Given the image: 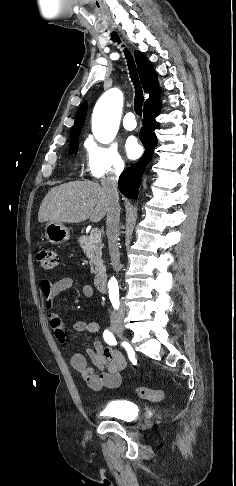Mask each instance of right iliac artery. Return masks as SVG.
<instances>
[{
  "mask_svg": "<svg viewBox=\"0 0 236 486\" xmlns=\"http://www.w3.org/2000/svg\"><path fill=\"white\" fill-rule=\"evenodd\" d=\"M112 303L114 304L113 301H112ZM103 337H104V340L106 341V343H108L109 345H117L116 338L114 337L113 333L110 332L109 330L104 331Z\"/></svg>",
  "mask_w": 236,
  "mask_h": 486,
  "instance_id": "right-iliac-artery-1",
  "label": "right iliac artery"
}]
</instances>
